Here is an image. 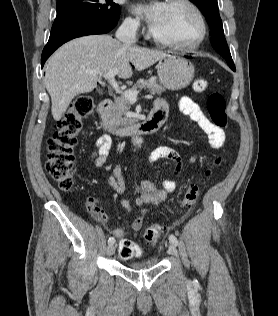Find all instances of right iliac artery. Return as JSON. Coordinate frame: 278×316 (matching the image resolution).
I'll list each match as a JSON object with an SVG mask.
<instances>
[{"instance_id": "right-iliac-artery-1", "label": "right iliac artery", "mask_w": 278, "mask_h": 316, "mask_svg": "<svg viewBox=\"0 0 278 316\" xmlns=\"http://www.w3.org/2000/svg\"><path fill=\"white\" fill-rule=\"evenodd\" d=\"M108 243H109V244H114V243H115V239H114L113 237H110V238L108 239Z\"/></svg>"}]
</instances>
